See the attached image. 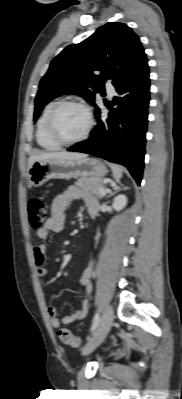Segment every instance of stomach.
Here are the masks:
<instances>
[{"mask_svg":"<svg viewBox=\"0 0 182 399\" xmlns=\"http://www.w3.org/2000/svg\"><path fill=\"white\" fill-rule=\"evenodd\" d=\"M106 173L105 164L95 158L85 157L78 160L47 159L36 161L29 167L28 181L31 186L39 187L50 179L102 178Z\"/></svg>","mask_w":182,"mask_h":399,"instance_id":"obj_1","label":"stomach"}]
</instances>
